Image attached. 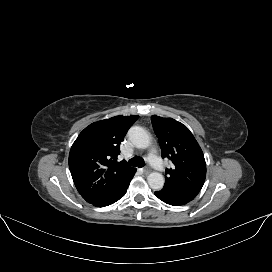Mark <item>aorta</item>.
I'll use <instances>...</instances> for the list:
<instances>
[{
    "label": "aorta",
    "mask_w": 272,
    "mask_h": 272,
    "mask_svg": "<svg viewBox=\"0 0 272 272\" xmlns=\"http://www.w3.org/2000/svg\"><path fill=\"white\" fill-rule=\"evenodd\" d=\"M130 142L137 148H147L150 145V137L147 131L140 126H133L128 131ZM149 186L153 190H160L164 186V176L159 172H152L147 176Z\"/></svg>",
    "instance_id": "1"
}]
</instances>
